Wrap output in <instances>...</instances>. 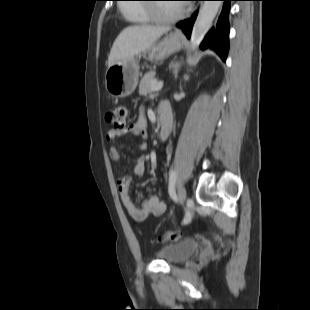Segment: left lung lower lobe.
I'll return each mask as SVG.
<instances>
[{"mask_svg":"<svg viewBox=\"0 0 310 310\" xmlns=\"http://www.w3.org/2000/svg\"><path fill=\"white\" fill-rule=\"evenodd\" d=\"M203 1V0H199ZM224 1L221 15L218 19L216 27H213L206 35L201 44L202 49L212 48L221 57L223 61H226L228 49H229V24H228V12L230 10V1L234 0H220ZM197 17V12L189 19L181 21L177 24L182 29L183 33L190 38L193 24Z\"/></svg>","mask_w":310,"mask_h":310,"instance_id":"left-lung-lower-lobe-1","label":"left lung lower lobe"}]
</instances>
